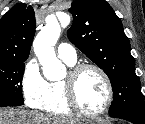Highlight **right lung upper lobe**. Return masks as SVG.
I'll return each mask as SVG.
<instances>
[{
    "label": "right lung upper lobe",
    "mask_w": 145,
    "mask_h": 124,
    "mask_svg": "<svg viewBox=\"0 0 145 124\" xmlns=\"http://www.w3.org/2000/svg\"><path fill=\"white\" fill-rule=\"evenodd\" d=\"M35 35L31 6L17 4L0 20V60L27 59Z\"/></svg>",
    "instance_id": "cb5924a9"
}]
</instances>
